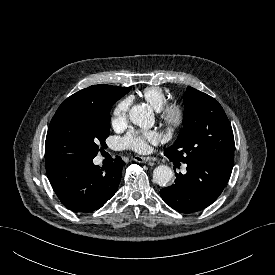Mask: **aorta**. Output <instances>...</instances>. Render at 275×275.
<instances>
[{"instance_id": "aorta-1", "label": "aorta", "mask_w": 275, "mask_h": 275, "mask_svg": "<svg viewBox=\"0 0 275 275\" xmlns=\"http://www.w3.org/2000/svg\"><path fill=\"white\" fill-rule=\"evenodd\" d=\"M130 121L142 128H151L154 125V116L150 106L138 104L129 111ZM173 171L169 166L159 165L153 171V180L159 186H166L173 178Z\"/></svg>"}]
</instances>
